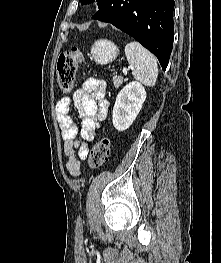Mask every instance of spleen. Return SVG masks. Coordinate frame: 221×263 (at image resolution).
I'll return each mask as SVG.
<instances>
[{
	"mask_svg": "<svg viewBox=\"0 0 221 263\" xmlns=\"http://www.w3.org/2000/svg\"><path fill=\"white\" fill-rule=\"evenodd\" d=\"M125 55L132 68L133 77L146 86H154L158 76L155 56L136 41L125 46Z\"/></svg>",
	"mask_w": 221,
	"mask_h": 263,
	"instance_id": "1",
	"label": "spleen"
}]
</instances>
